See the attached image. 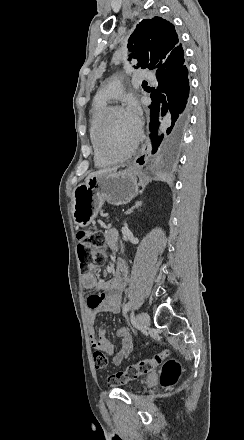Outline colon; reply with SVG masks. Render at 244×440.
I'll list each match as a JSON object with an SVG mask.
<instances>
[{"instance_id":"5ec220e1","label":"colon","mask_w":244,"mask_h":440,"mask_svg":"<svg viewBox=\"0 0 244 440\" xmlns=\"http://www.w3.org/2000/svg\"><path fill=\"white\" fill-rule=\"evenodd\" d=\"M105 245V239L100 231L87 232L81 230L77 233V254L84 273H90L101 263L100 251ZM167 351H161L151 357L141 359L127 365L117 373L109 374V382L113 386L127 383L148 375L158 365H162L159 377L163 387H169L177 383V374H182L181 367L174 359H169ZM92 363L95 369L105 370L108 366V358L101 351H94Z\"/></svg>"}]
</instances>
